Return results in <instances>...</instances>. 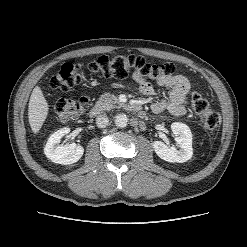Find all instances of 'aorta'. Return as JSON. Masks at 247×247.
Returning <instances> with one entry per match:
<instances>
[{
  "mask_svg": "<svg viewBox=\"0 0 247 247\" xmlns=\"http://www.w3.org/2000/svg\"><path fill=\"white\" fill-rule=\"evenodd\" d=\"M115 124L119 128H125L128 125V117L125 114H118L115 117Z\"/></svg>",
  "mask_w": 247,
  "mask_h": 247,
  "instance_id": "1",
  "label": "aorta"
}]
</instances>
